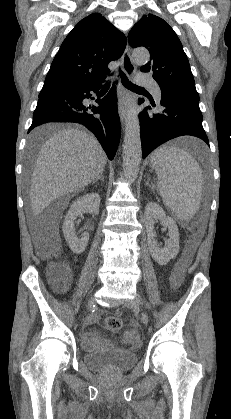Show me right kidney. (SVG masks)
<instances>
[{
  "label": "right kidney",
  "instance_id": "1",
  "mask_svg": "<svg viewBox=\"0 0 231 419\" xmlns=\"http://www.w3.org/2000/svg\"><path fill=\"white\" fill-rule=\"evenodd\" d=\"M100 196L98 193H89L80 198H77L70 207L68 214L65 217L62 230L70 249L76 253L81 254L89 241V233L84 232L81 238H77L75 234L74 222L77 217L88 212L93 215L99 213Z\"/></svg>",
  "mask_w": 231,
  "mask_h": 419
}]
</instances>
